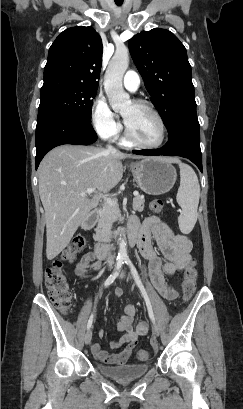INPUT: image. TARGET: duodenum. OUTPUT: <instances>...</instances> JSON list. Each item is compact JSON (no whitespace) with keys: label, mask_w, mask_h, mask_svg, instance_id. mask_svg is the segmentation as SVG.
<instances>
[{"label":"duodenum","mask_w":243,"mask_h":409,"mask_svg":"<svg viewBox=\"0 0 243 409\" xmlns=\"http://www.w3.org/2000/svg\"><path fill=\"white\" fill-rule=\"evenodd\" d=\"M98 218V214L96 211L92 212L91 215L86 220V225L91 226L93 225ZM126 242L130 247H134L138 244L140 239V234L137 230L129 229L125 233ZM113 251L112 246L107 244H97L94 248V253L97 258L105 259L107 258Z\"/></svg>","instance_id":"1"}]
</instances>
